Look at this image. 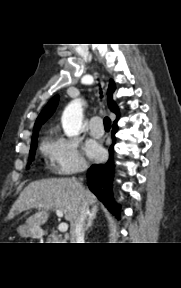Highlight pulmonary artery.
<instances>
[{
  "label": "pulmonary artery",
  "mask_w": 181,
  "mask_h": 288,
  "mask_svg": "<svg viewBox=\"0 0 181 288\" xmlns=\"http://www.w3.org/2000/svg\"><path fill=\"white\" fill-rule=\"evenodd\" d=\"M89 130L92 136L101 137L104 133L100 117L94 116L89 124Z\"/></svg>",
  "instance_id": "1"
}]
</instances>
